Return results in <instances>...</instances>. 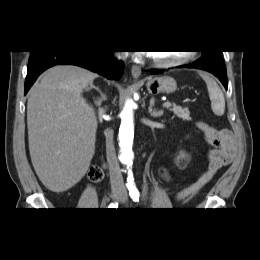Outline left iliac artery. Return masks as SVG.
<instances>
[{
	"label": "left iliac artery",
	"mask_w": 260,
	"mask_h": 260,
	"mask_svg": "<svg viewBox=\"0 0 260 260\" xmlns=\"http://www.w3.org/2000/svg\"><path fill=\"white\" fill-rule=\"evenodd\" d=\"M129 194L133 201H139L140 193L135 185L129 187Z\"/></svg>",
	"instance_id": "obj_1"
}]
</instances>
